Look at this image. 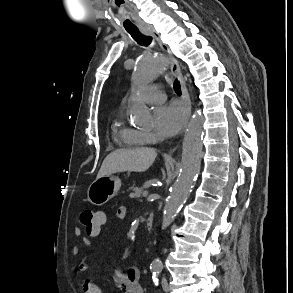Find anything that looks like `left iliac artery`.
I'll return each mask as SVG.
<instances>
[{
  "instance_id": "44dca946",
  "label": "left iliac artery",
  "mask_w": 293,
  "mask_h": 293,
  "mask_svg": "<svg viewBox=\"0 0 293 293\" xmlns=\"http://www.w3.org/2000/svg\"><path fill=\"white\" fill-rule=\"evenodd\" d=\"M158 275H159V271H157V272H153V276H152V278H153V283L155 284V285H158Z\"/></svg>"
}]
</instances>
